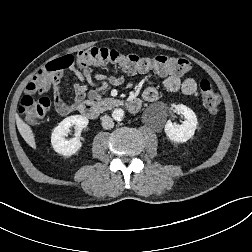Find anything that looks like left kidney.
<instances>
[{
	"instance_id": "1",
	"label": "left kidney",
	"mask_w": 252,
	"mask_h": 252,
	"mask_svg": "<svg viewBox=\"0 0 252 252\" xmlns=\"http://www.w3.org/2000/svg\"><path fill=\"white\" fill-rule=\"evenodd\" d=\"M172 106L184 116L185 120L182 124H176L168 120L165 124L164 131L170 140L184 143L194 135L198 123L197 117L190 108L183 104H173Z\"/></svg>"
}]
</instances>
